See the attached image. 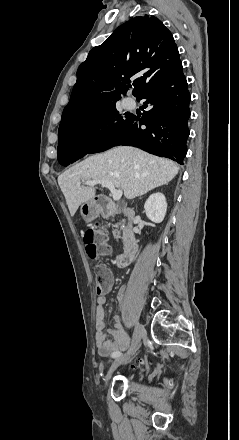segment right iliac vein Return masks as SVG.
<instances>
[{"label": "right iliac vein", "mask_w": 239, "mask_h": 440, "mask_svg": "<svg viewBox=\"0 0 239 440\" xmlns=\"http://www.w3.org/2000/svg\"><path fill=\"white\" fill-rule=\"evenodd\" d=\"M145 333V329L141 324H137L134 330L131 347L130 349L120 357L116 358L113 364L110 367V370L108 371L106 378H105V385H107L108 381L110 380L112 373L116 370L118 366L121 364L127 362L130 358V356L134 353V351L137 349L138 344L141 341L142 336Z\"/></svg>", "instance_id": "obj_1"}]
</instances>
